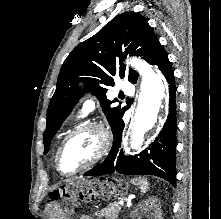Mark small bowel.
<instances>
[{"label": "small bowel", "mask_w": 221, "mask_h": 219, "mask_svg": "<svg viewBox=\"0 0 221 219\" xmlns=\"http://www.w3.org/2000/svg\"><path fill=\"white\" fill-rule=\"evenodd\" d=\"M79 219H92V218H90L88 216H80Z\"/></svg>", "instance_id": "small-bowel-1"}]
</instances>
